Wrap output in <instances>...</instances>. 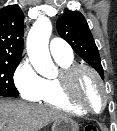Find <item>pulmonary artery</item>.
<instances>
[{"mask_svg":"<svg viewBox=\"0 0 117 131\" xmlns=\"http://www.w3.org/2000/svg\"><path fill=\"white\" fill-rule=\"evenodd\" d=\"M49 47L50 53L55 60L73 58L71 47L61 38H53Z\"/></svg>","mask_w":117,"mask_h":131,"instance_id":"e3ab8cb5","label":"pulmonary artery"}]
</instances>
